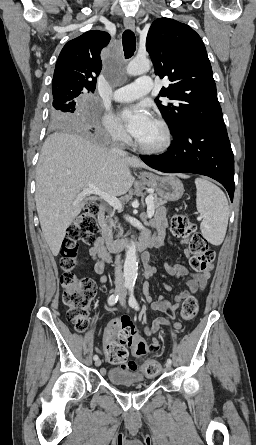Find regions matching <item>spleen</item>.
<instances>
[{"label": "spleen", "mask_w": 256, "mask_h": 445, "mask_svg": "<svg viewBox=\"0 0 256 445\" xmlns=\"http://www.w3.org/2000/svg\"><path fill=\"white\" fill-rule=\"evenodd\" d=\"M196 205L202 215L200 229L203 236L213 245H220L225 237L229 206L223 191L204 178H196Z\"/></svg>", "instance_id": "obj_1"}]
</instances>
